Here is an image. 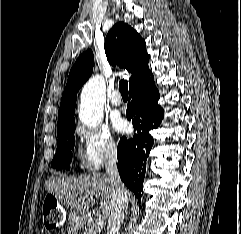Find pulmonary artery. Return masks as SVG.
<instances>
[{
    "instance_id": "e3ab8cb5",
    "label": "pulmonary artery",
    "mask_w": 241,
    "mask_h": 234,
    "mask_svg": "<svg viewBox=\"0 0 241 234\" xmlns=\"http://www.w3.org/2000/svg\"><path fill=\"white\" fill-rule=\"evenodd\" d=\"M109 101H110L112 106H116V107L120 106L122 104V98H121L119 92L118 91H114L111 94V96L109 98Z\"/></svg>"
}]
</instances>
